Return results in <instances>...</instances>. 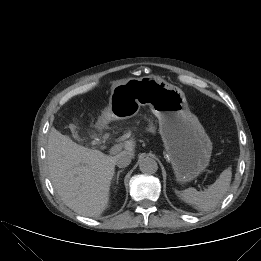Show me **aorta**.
Returning a JSON list of instances; mask_svg holds the SVG:
<instances>
[{"label": "aorta", "instance_id": "762f6f07", "mask_svg": "<svg viewBox=\"0 0 261 261\" xmlns=\"http://www.w3.org/2000/svg\"><path fill=\"white\" fill-rule=\"evenodd\" d=\"M139 168L142 173L154 174L158 170V164L155 159L151 157H145L140 160Z\"/></svg>", "mask_w": 261, "mask_h": 261}]
</instances>
